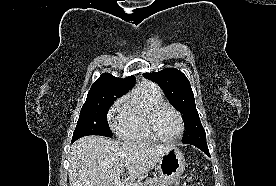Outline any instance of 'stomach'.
<instances>
[{
	"label": "stomach",
	"instance_id": "1",
	"mask_svg": "<svg viewBox=\"0 0 276 186\" xmlns=\"http://www.w3.org/2000/svg\"><path fill=\"white\" fill-rule=\"evenodd\" d=\"M185 170V158L182 152L173 147L167 151L158 161V171L161 177L168 183L176 181Z\"/></svg>",
	"mask_w": 276,
	"mask_h": 186
}]
</instances>
